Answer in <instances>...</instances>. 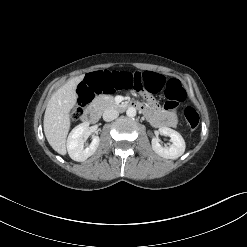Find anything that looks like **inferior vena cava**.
<instances>
[{"instance_id": "1", "label": "inferior vena cava", "mask_w": 247, "mask_h": 247, "mask_svg": "<svg viewBox=\"0 0 247 247\" xmlns=\"http://www.w3.org/2000/svg\"><path fill=\"white\" fill-rule=\"evenodd\" d=\"M119 115V112L113 108H107L104 112H103V119L107 122H110L114 119H116Z\"/></svg>"}]
</instances>
